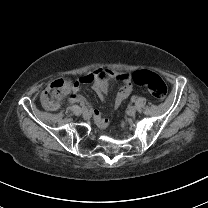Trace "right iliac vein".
I'll return each instance as SVG.
<instances>
[{"instance_id":"right-iliac-vein-1","label":"right iliac vein","mask_w":208,"mask_h":208,"mask_svg":"<svg viewBox=\"0 0 208 208\" xmlns=\"http://www.w3.org/2000/svg\"><path fill=\"white\" fill-rule=\"evenodd\" d=\"M82 113H83L84 115H86V114L88 113V109H87V108L82 109Z\"/></svg>"}]
</instances>
